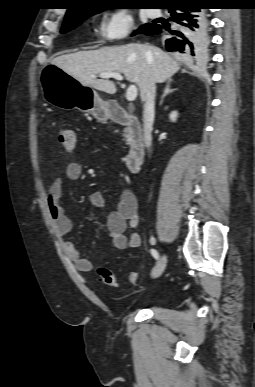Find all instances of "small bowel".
I'll list each match as a JSON object with an SVG mask.
<instances>
[{"mask_svg":"<svg viewBox=\"0 0 255 387\" xmlns=\"http://www.w3.org/2000/svg\"><path fill=\"white\" fill-rule=\"evenodd\" d=\"M81 174L82 167L80 164L75 162L68 163L63 170V175L56 177L48 190L47 205L49 216L56 232L61 236L67 234L72 228L71 220L65 214L60 204L64 180L76 181L81 177ZM89 201L97 210L103 211L105 209V199L101 192H92L89 195ZM138 222L136 198L131 192L124 191L116 208L107 215L105 223L107 234L115 249L124 250L140 246V235L133 231ZM128 230H130L129 233H127ZM64 250L79 271L89 272L93 269L92 261L83 256L81 251L72 242H65Z\"/></svg>","mask_w":255,"mask_h":387,"instance_id":"1","label":"small bowel"}]
</instances>
